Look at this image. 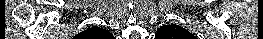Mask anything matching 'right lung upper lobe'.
I'll list each match as a JSON object with an SVG mask.
<instances>
[{
	"label": "right lung upper lobe",
	"mask_w": 263,
	"mask_h": 39,
	"mask_svg": "<svg viewBox=\"0 0 263 39\" xmlns=\"http://www.w3.org/2000/svg\"><path fill=\"white\" fill-rule=\"evenodd\" d=\"M111 36L109 31L100 27H92L78 34L83 39H110Z\"/></svg>",
	"instance_id": "cb5924a9"
}]
</instances>
